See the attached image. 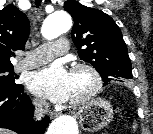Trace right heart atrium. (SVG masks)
<instances>
[{
	"label": "right heart atrium",
	"instance_id": "1",
	"mask_svg": "<svg viewBox=\"0 0 153 134\" xmlns=\"http://www.w3.org/2000/svg\"><path fill=\"white\" fill-rule=\"evenodd\" d=\"M34 103H35V105L38 107V108H42L43 106H44V101L43 100H41V99H39V98H36L35 100H34Z\"/></svg>",
	"mask_w": 153,
	"mask_h": 134
}]
</instances>
